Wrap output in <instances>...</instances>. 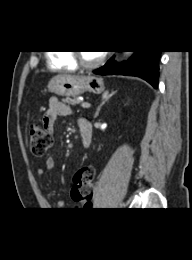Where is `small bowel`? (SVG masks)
Masks as SVG:
<instances>
[{"label":"small bowel","instance_id":"obj_1","mask_svg":"<svg viewBox=\"0 0 192 260\" xmlns=\"http://www.w3.org/2000/svg\"><path fill=\"white\" fill-rule=\"evenodd\" d=\"M70 109L68 106L59 101L56 97H51L48 101V108L45 111L42 118V125L46 130L52 134L54 130V124L58 116H66L70 114ZM55 168V161L52 158L46 160L44 167H40L37 170V174L40 177H43L46 172L52 171ZM75 203H78L75 201ZM57 207L62 209L65 207L63 201L57 203Z\"/></svg>","mask_w":192,"mask_h":260}]
</instances>
